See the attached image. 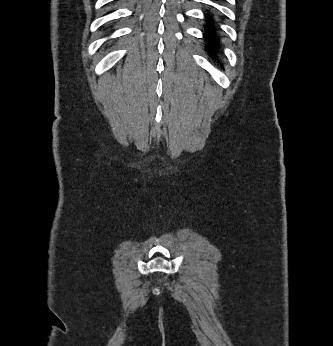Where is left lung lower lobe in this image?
Segmentation results:
<instances>
[{
  "label": "left lung lower lobe",
  "mask_w": 333,
  "mask_h": 346,
  "mask_svg": "<svg viewBox=\"0 0 333 346\" xmlns=\"http://www.w3.org/2000/svg\"><path fill=\"white\" fill-rule=\"evenodd\" d=\"M204 26L205 50L213 58L218 59L220 52V39L218 35V26L212 12L206 13Z\"/></svg>",
  "instance_id": "1"
}]
</instances>
